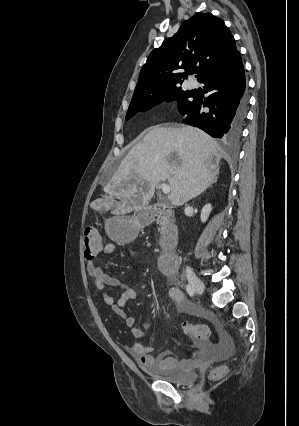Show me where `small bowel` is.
Wrapping results in <instances>:
<instances>
[{
	"label": "small bowel",
	"instance_id": "c3829d8e",
	"mask_svg": "<svg viewBox=\"0 0 299 426\" xmlns=\"http://www.w3.org/2000/svg\"><path fill=\"white\" fill-rule=\"evenodd\" d=\"M115 249V244L107 243L103 245L99 255H109L113 253ZM95 259L87 262V271L95 287L102 292L103 301L110 306L118 316L124 319L125 325L130 329L134 338L142 337L143 331L136 326L134 316L127 314L125 311V305L129 301L136 300L138 298V292L133 288H127L118 299H115L107 290V287H118L120 286V281L105 273L103 269L96 264ZM168 294L171 300L176 304L179 312L187 313L193 311L192 306L184 299L179 289L172 287ZM191 346L194 348L191 358L181 361L175 358L167 349L153 356L152 353L154 348L139 342L133 344L130 353L142 366H154L162 369L179 368L182 370H191L199 365L207 364L218 352L217 345L209 341H198L193 339L191 341Z\"/></svg>",
	"mask_w": 299,
	"mask_h": 426
}]
</instances>
